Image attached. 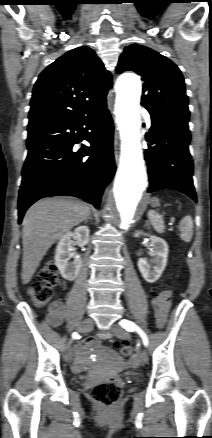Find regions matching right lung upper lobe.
<instances>
[{
    "label": "right lung upper lobe",
    "instance_id": "right-lung-upper-lobe-1",
    "mask_svg": "<svg viewBox=\"0 0 212 438\" xmlns=\"http://www.w3.org/2000/svg\"><path fill=\"white\" fill-rule=\"evenodd\" d=\"M112 77L89 47L68 51L38 77L28 126L57 119L75 120L106 106Z\"/></svg>",
    "mask_w": 212,
    "mask_h": 438
}]
</instances>
